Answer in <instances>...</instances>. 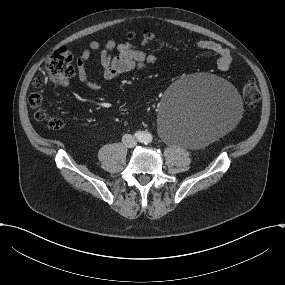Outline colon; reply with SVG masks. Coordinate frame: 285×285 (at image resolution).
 Segmentation results:
<instances>
[{
  "instance_id": "obj_1",
  "label": "colon",
  "mask_w": 285,
  "mask_h": 285,
  "mask_svg": "<svg viewBox=\"0 0 285 285\" xmlns=\"http://www.w3.org/2000/svg\"><path fill=\"white\" fill-rule=\"evenodd\" d=\"M144 38H151L152 34L149 31L143 32ZM130 38H134L135 34L130 33ZM72 54L67 48H59L53 52L45 65V72L47 78L55 84H62L67 81L74 74L72 65ZM44 78L38 76L35 78L33 84L36 88H40L43 84ZM242 95L245 102L252 106L260 99V91L254 82L245 84L242 90ZM29 104L35 111V118L40 121L46 120L48 126L52 129L59 130L64 128L65 122L60 118L49 117L45 109L41 107L42 97L38 92H34L29 96Z\"/></svg>"
}]
</instances>
